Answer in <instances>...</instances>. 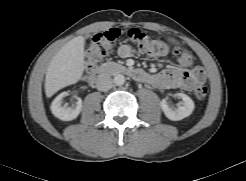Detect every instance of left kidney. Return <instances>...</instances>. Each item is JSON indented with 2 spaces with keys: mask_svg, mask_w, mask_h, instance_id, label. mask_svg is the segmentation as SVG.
I'll return each instance as SVG.
<instances>
[{
  "mask_svg": "<svg viewBox=\"0 0 246 181\" xmlns=\"http://www.w3.org/2000/svg\"><path fill=\"white\" fill-rule=\"evenodd\" d=\"M176 96L182 99V106L171 108L168 105L167 98L162 99L160 102L161 109L165 116L172 121H178L188 117L193 112L195 107L193 100L188 95L178 93Z\"/></svg>",
  "mask_w": 246,
  "mask_h": 181,
  "instance_id": "5707ae66",
  "label": "left kidney"
}]
</instances>
